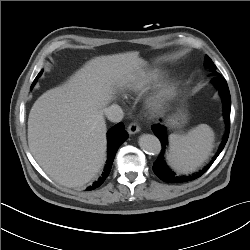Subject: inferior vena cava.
I'll list each match as a JSON object with an SVG mask.
<instances>
[{"mask_svg":"<svg viewBox=\"0 0 250 250\" xmlns=\"http://www.w3.org/2000/svg\"><path fill=\"white\" fill-rule=\"evenodd\" d=\"M104 113L111 122H120L124 117V112L117 104H113L104 109Z\"/></svg>","mask_w":250,"mask_h":250,"instance_id":"602c4592","label":"inferior vena cava"}]
</instances>
